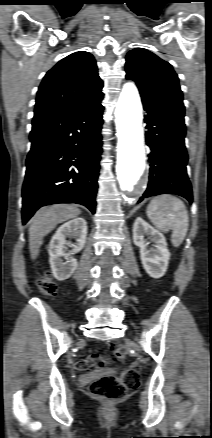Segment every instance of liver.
Returning <instances> with one entry per match:
<instances>
[{
    "mask_svg": "<svg viewBox=\"0 0 212 438\" xmlns=\"http://www.w3.org/2000/svg\"><path fill=\"white\" fill-rule=\"evenodd\" d=\"M81 211L73 205L57 204L41 208L29 227V250L31 259L39 254L43 238L58 224L77 217Z\"/></svg>",
    "mask_w": 212,
    "mask_h": 438,
    "instance_id": "1",
    "label": "liver"
}]
</instances>
